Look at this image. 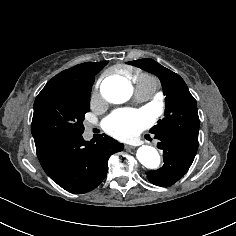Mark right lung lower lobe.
I'll return each mask as SVG.
<instances>
[{"label":"right lung lower lobe","mask_w":236,"mask_h":236,"mask_svg":"<svg viewBox=\"0 0 236 236\" xmlns=\"http://www.w3.org/2000/svg\"><path fill=\"white\" fill-rule=\"evenodd\" d=\"M35 145L47 175L65 190L76 194L95 189L106 177L109 157L124 148L105 134L91 141H85L82 134L52 136L35 141Z\"/></svg>","instance_id":"obj_1"}]
</instances>
